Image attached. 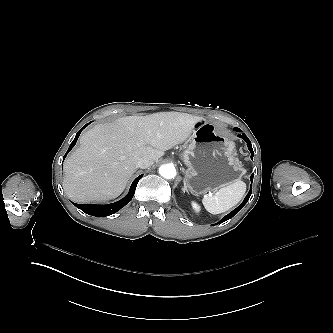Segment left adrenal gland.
I'll list each match as a JSON object with an SVG mask.
<instances>
[{"mask_svg":"<svg viewBox=\"0 0 333 333\" xmlns=\"http://www.w3.org/2000/svg\"><path fill=\"white\" fill-rule=\"evenodd\" d=\"M183 183H184V187L182 188V191L183 192H188V190H187V185H186V179L184 178V180H183Z\"/></svg>","mask_w":333,"mask_h":333,"instance_id":"obj_1","label":"left adrenal gland"}]
</instances>
